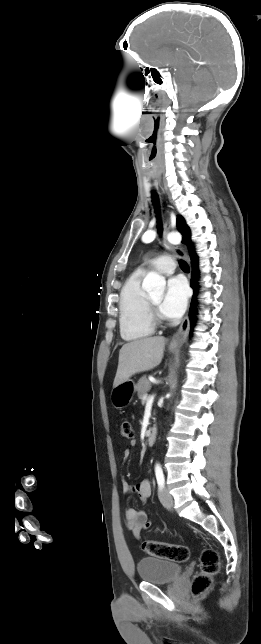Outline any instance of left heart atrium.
<instances>
[{
    "label": "left heart atrium",
    "mask_w": 261,
    "mask_h": 644,
    "mask_svg": "<svg viewBox=\"0 0 261 644\" xmlns=\"http://www.w3.org/2000/svg\"><path fill=\"white\" fill-rule=\"evenodd\" d=\"M187 286L180 277H172L167 282L166 292L160 304L163 316L175 319L180 317L187 305Z\"/></svg>",
    "instance_id": "39dd6f15"
}]
</instances>
